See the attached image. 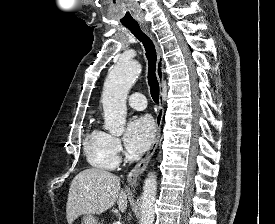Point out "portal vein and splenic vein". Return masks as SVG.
Listing matches in <instances>:
<instances>
[{"mask_svg": "<svg viewBox=\"0 0 275 224\" xmlns=\"http://www.w3.org/2000/svg\"><path fill=\"white\" fill-rule=\"evenodd\" d=\"M113 224H121V222H120V221H117V222H115V223H113Z\"/></svg>", "mask_w": 275, "mask_h": 224, "instance_id": "obj_1", "label": "portal vein and splenic vein"}]
</instances>
